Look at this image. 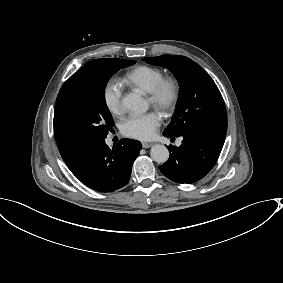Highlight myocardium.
<instances>
[{"label":"myocardium","mask_w":283,"mask_h":283,"mask_svg":"<svg viewBox=\"0 0 283 283\" xmlns=\"http://www.w3.org/2000/svg\"><path fill=\"white\" fill-rule=\"evenodd\" d=\"M150 105L164 114L172 112L179 99V86L172 77H163L148 92Z\"/></svg>","instance_id":"1"}]
</instances>
